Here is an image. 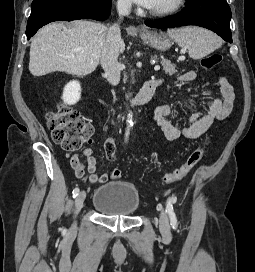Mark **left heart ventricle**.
Segmentation results:
<instances>
[{
  "label": "left heart ventricle",
  "mask_w": 255,
  "mask_h": 272,
  "mask_svg": "<svg viewBox=\"0 0 255 272\" xmlns=\"http://www.w3.org/2000/svg\"><path fill=\"white\" fill-rule=\"evenodd\" d=\"M175 0H154L152 6L149 8L150 10H158L165 8L172 4Z\"/></svg>",
  "instance_id": "1"
}]
</instances>
